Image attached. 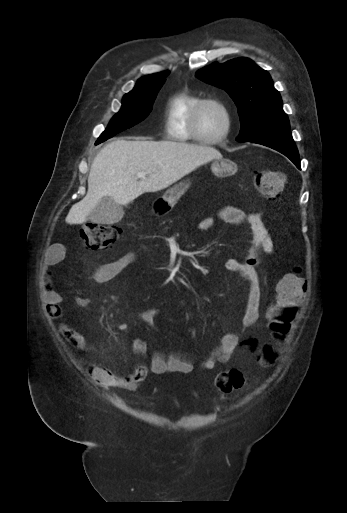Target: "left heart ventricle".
Segmentation results:
<instances>
[{
	"mask_svg": "<svg viewBox=\"0 0 347 513\" xmlns=\"http://www.w3.org/2000/svg\"><path fill=\"white\" fill-rule=\"evenodd\" d=\"M226 118L222 109L215 104L204 106L198 117L200 134L206 138H215L223 133Z\"/></svg>",
	"mask_w": 347,
	"mask_h": 513,
	"instance_id": "left-heart-ventricle-1",
	"label": "left heart ventricle"
}]
</instances>
